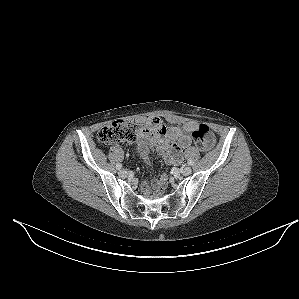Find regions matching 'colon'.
I'll return each mask as SVG.
<instances>
[{
    "instance_id": "colon-1",
    "label": "colon",
    "mask_w": 299,
    "mask_h": 299,
    "mask_svg": "<svg viewBox=\"0 0 299 299\" xmlns=\"http://www.w3.org/2000/svg\"><path fill=\"white\" fill-rule=\"evenodd\" d=\"M142 127L140 124L117 120L102 127L97 134V138L102 144H113L124 141L134 142L142 130ZM192 136L195 145L201 150L209 149L213 144L209 127L205 124H198ZM164 185L165 181L159 185L157 189L159 193L163 192Z\"/></svg>"
}]
</instances>
